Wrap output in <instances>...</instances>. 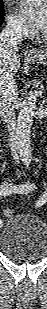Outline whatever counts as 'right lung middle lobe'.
Returning <instances> with one entry per match:
<instances>
[{"label": "right lung middle lobe", "instance_id": "1", "mask_svg": "<svg viewBox=\"0 0 47 309\" xmlns=\"http://www.w3.org/2000/svg\"><path fill=\"white\" fill-rule=\"evenodd\" d=\"M1 16H4V6H3L2 1H0V17Z\"/></svg>", "mask_w": 47, "mask_h": 309}]
</instances>
